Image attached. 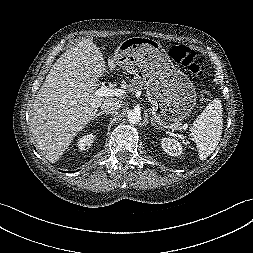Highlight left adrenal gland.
I'll list each match as a JSON object with an SVG mask.
<instances>
[{"label": "left adrenal gland", "mask_w": 253, "mask_h": 253, "mask_svg": "<svg viewBox=\"0 0 253 253\" xmlns=\"http://www.w3.org/2000/svg\"><path fill=\"white\" fill-rule=\"evenodd\" d=\"M151 124H152V126H154L155 128L158 127V126L156 125V123L154 122L153 118H151Z\"/></svg>", "instance_id": "a2214340"}]
</instances>
